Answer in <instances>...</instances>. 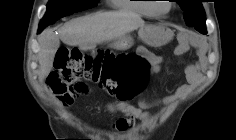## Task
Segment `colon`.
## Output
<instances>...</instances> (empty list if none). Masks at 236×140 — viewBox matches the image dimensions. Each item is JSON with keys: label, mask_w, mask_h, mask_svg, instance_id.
<instances>
[{"label": "colon", "mask_w": 236, "mask_h": 140, "mask_svg": "<svg viewBox=\"0 0 236 140\" xmlns=\"http://www.w3.org/2000/svg\"><path fill=\"white\" fill-rule=\"evenodd\" d=\"M149 73V63L140 56L116 55L110 51L87 55L75 47H62L56 54L48 86L65 101L88 93L87 82L96 83L124 102L145 89Z\"/></svg>", "instance_id": "5ec220e1"}]
</instances>
